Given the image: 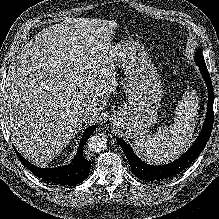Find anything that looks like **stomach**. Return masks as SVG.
I'll return each mask as SVG.
<instances>
[{
  "label": "stomach",
  "mask_w": 219,
  "mask_h": 219,
  "mask_svg": "<svg viewBox=\"0 0 219 219\" xmlns=\"http://www.w3.org/2000/svg\"><path fill=\"white\" fill-rule=\"evenodd\" d=\"M110 53L124 70L122 86L127 97V102L112 115L111 122L127 137L146 134L156 123L163 96L160 75L144 47L133 40L114 43Z\"/></svg>",
  "instance_id": "stomach-1"
}]
</instances>
